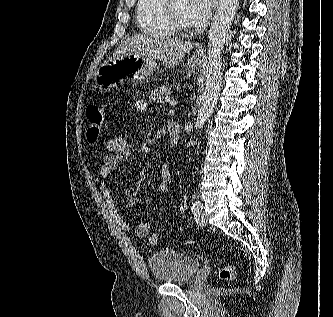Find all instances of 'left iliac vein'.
<instances>
[{
	"mask_svg": "<svg viewBox=\"0 0 333 317\" xmlns=\"http://www.w3.org/2000/svg\"><path fill=\"white\" fill-rule=\"evenodd\" d=\"M202 210H203V204L200 203V209H199V211H197V212L194 213V219H195V222L198 225H200V226H206L207 225V220H206V217L203 214Z\"/></svg>",
	"mask_w": 333,
	"mask_h": 317,
	"instance_id": "obj_1",
	"label": "left iliac vein"
}]
</instances>
